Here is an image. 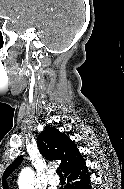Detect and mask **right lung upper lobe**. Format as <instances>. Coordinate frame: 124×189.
Here are the masks:
<instances>
[{
    "label": "right lung upper lobe",
    "instance_id": "obj_1",
    "mask_svg": "<svg viewBox=\"0 0 124 189\" xmlns=\"http://www.w3.org/2000/svg\"><path fill=\"white\" fill-rule=\"evenodd\" d=\"M37 145L41 154L47 160L60 161V168L64 173L84 160L75 143L67 135L53 127L47 128L38 135ZM22 160V156L17 157L3 173V189H8V184L5 180L19 166Z\"/></svg>",
    "mask_w": 124,
    "mask_h": 189
}]
</instances>
